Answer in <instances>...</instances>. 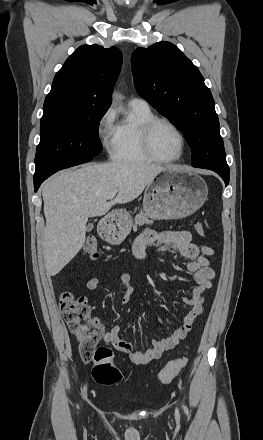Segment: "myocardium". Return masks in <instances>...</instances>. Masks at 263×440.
Returning a JSON list of instances; mask_svg holds the SVG:
<instances>
[{"mask_svg": "<svg viewBox=\"0 0 263 440\" xmlns=\"http://www.w3.org/2000/svg\"><path fill=\"white\" fill-rule=\"evenodd\" d=\"M159 123H165V124L169 125L171 128H173L175 130V132L178 134V136L180 138L181 149H180L179 154L174 158H170V159L160 158L153 152L152 145H151V136H152V132H153L154 128ZM140 144H141V148H142L143 152L151 161L168 164V163L177 162L184 156L185 151H186V146H187V140H186V137H185L184 133L182 132V130L172 120H170L169 118H166V117L155 116V117L149 119L148 121L144 122L141 125V127H140Z\"/></svg>", "mask_w": 263, "mask_h": 440, "instance_id": "f54148a6", "label": "myocardium"}]
</instances>
